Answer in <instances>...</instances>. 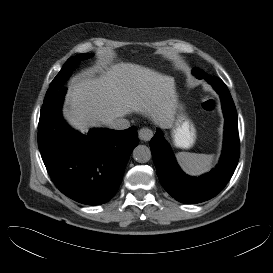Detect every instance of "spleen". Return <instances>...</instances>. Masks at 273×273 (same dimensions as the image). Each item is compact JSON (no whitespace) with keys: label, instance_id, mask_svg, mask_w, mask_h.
<instances>
[{"label":"spleen","instance_id":"3e777b00","mask_svg":"<svg viewBox=\"0 0 273 273\" xmlns=\"http://www.w3.org/2000/svg\"><path fill=\"white\" fill-rule=\"evenodd\" d=\"M177 158L186 173L200 175L212 167L215 156L213 154L180 152L177 154Z\"/></svg>","mask_w":273,"mask_h":273}]
</instances>
